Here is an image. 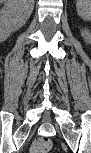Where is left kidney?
<instances>
[{"label":"left kidney","mask_w":91,"mask_h":153,"mask_svg":"<svg viewBox=\"0 0 91 153\" xmlns=\"http://www.w3.org/2000/svg\"><path fill=\"white\" fill-rule=\"evenodd\" d=\"M81 35H82V37L84 38V40L86 42H89L90 41V32L87 29H83L81 31Z\"/></svg>","instance_id":"left-kidney-1"}]
</instances>
